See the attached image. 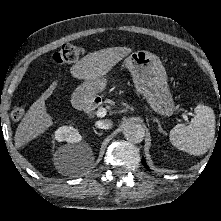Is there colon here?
I'll return each instance as SVG.
<instances>
[{"mask_svg": "<svg viewBox=\"0 0 221 221\" xmlns=\"http://www.w3.org/2000/svg\"><path fill=\"white\" fill-rule=\"evenodd\" d=\"M84 54L83 47L67 43L62 45L53 55L52 60L56 64H72L77 62ZM24 115V107L16 105L11 110V118L15 121L20 120Z\"/></svg>", "mask_w": 221, "mask_h": 221, "instance_id": "5ec220e1", "label": "colon"}]
</instances>
